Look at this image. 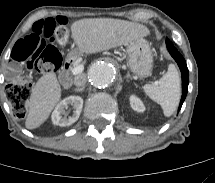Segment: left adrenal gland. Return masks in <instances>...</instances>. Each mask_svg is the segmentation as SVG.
<instances>
[{"instance_id":"1","label":"left adrenal gland","mask_w":215,"mask_h":183,"mask_svg":"<svg viewBox=\"0 0 215 183\" xmlns=\"http://www.w3.org/2000/svg\"><path fill=\"white\" fill-rule=\"evenodd\" d=\"M126 78H130V79H132V77H131V75H130V73L128 72L127 73V75H126Z\"/></svg>"}]
</instances>
